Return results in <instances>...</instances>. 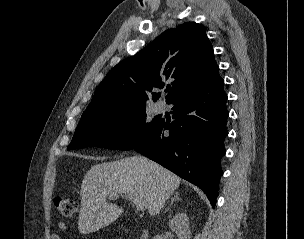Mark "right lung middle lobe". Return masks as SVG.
Segmentation results:
<instances>
[{
  "mask_svg": "<svg viewBox=\"0 0 304 239\" xmlns=\"http://www.w3.org/2000/svg\"><path fill=\"white\" fill-rule=\"evenodd\" d=\"M160 119L147 121L144 105H122L81 118L67 150L97 146L131 150L149 137Z\"/></svg>",
  "mask_w": 304,
  "mask_h": 239,
  "instance_id": "right-lung-middle-lobe-1",
  "label": "right lung middle lobe"
}]
</instances>
